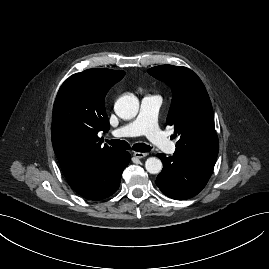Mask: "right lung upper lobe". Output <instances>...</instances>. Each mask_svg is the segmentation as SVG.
Instances as JSON below:
<instances>
[{"instance_id": "cb5924a9", "label": "right lung upper lobe", "mask_w": 269, "mask_h": 269, "mask_svg": "<svg viewBox=\"0 0 269 269\" xmlns=\"http://www.w3.org/2000/svg\"><path fill=\"white\" fill-rule=\"evenodd\" d=\"M124 75V71L88 69L60 87L53 107L52 144L66 178L94 169L120 152L102 145L98 133L110 128L105 95Z\"/></svg>"}]
</instances>
